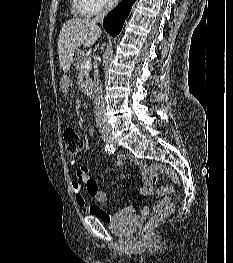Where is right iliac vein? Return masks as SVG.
Listing matches in <instances>:
<instances>
[{
    "label": "right iliac vein",
    "mask_w": 233,
    "mask_h": 263,
    "mask_svg": "<svg viewBox=\"0 0 233 263\" xmlns=\"http://www.w3.org/2000/svg\"><path fill=\"white\" fill-rule=\"evenodd\" d=\"M104 140H105L106 142L110 143V144H113V143H114L113 137H112L111 135H109V134H105V135H104Z\"/></svg>",
    "instance_id": "1"
}]
</instances>
